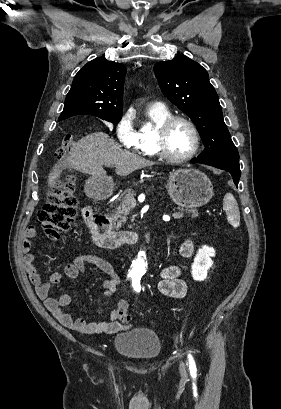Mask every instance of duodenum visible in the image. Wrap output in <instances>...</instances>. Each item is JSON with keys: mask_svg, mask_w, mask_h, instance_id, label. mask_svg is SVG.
<instances>
[{"mask_svg": "<svg viewBox=\"0 0 281 409\" xmlns=\"http://www.w3.org/2000/svg\"><path fill=\"white\" fill-rule=\"evenodd\" d=\"M84 221L89 228L93 241L102 248L114 249L121 245L134 244L136 234L131 231L111 232L104 216L91 206H85L82 211Z\"/></svg>", "mask_w": 281, "mask_h": 409, "instance_id": "410a0bca", "label": "duodenum"}]
</instances>
